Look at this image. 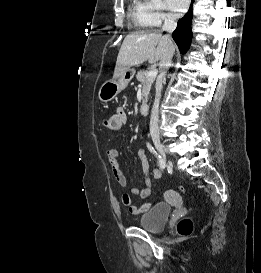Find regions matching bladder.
I'll return each mask as SVG.
<instances>
[{
    "label": "bladder",
    "instance_id": "bladder-1",
    "mask_svg": "<svg viewBox=\"0 0 261 273\" xmlns=\"http://www.w3.org/2000/svg\"><path fill=\"white\" fill-rule=\"evenodd\" d=\"M172 205L166 202H157L139 218L140 227L149 231H161L165 228L171 215Z\"/></svg>",
    "mask_w": 261,
    "mask_h": 273
}]
</instances>
